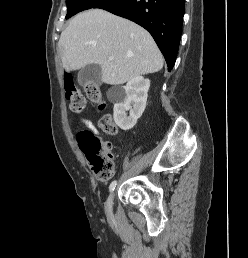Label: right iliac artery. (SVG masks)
<instances>
[{
    "mask_svg": "<svg viewBox=\"0 0 248 258\" xmlns=\"http://www.w3.org/2000/svg\"><path fill=\"white\" fill-rule=\"evenodd\" d=\"M116 184H117V181H116V180L113 181V182L110 184V187H109L110 191H113V190L115 189Z\"/></svg>",
    "mask_w": 248,
    "mask_h": 258,
    "instance_id": "obj_1",
    "label": "right iliac artery"
}]
</instances>
